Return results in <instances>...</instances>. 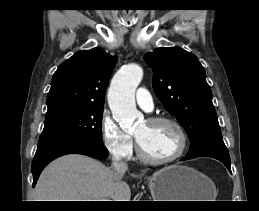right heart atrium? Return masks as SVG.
Instances as JSON below:
<instances>
[{
  "label": "right heart atrium",
  "mask_w": 259,
  "mask_h": 211,
  "mask_svg": "<svg viewBox=\"0 0 259 211\" xmlns=\"http://www.w3.org/2000/svg\"><path fill=\"white\" fill-rule=\"evenodd\" d=\"M100 131L103 145L113 157L127 159L132 155V137L125 133L107 112L101 116Z\"/></svg>",
  "instance_id": "right-heart-atrium-1"
}]
</instances>
